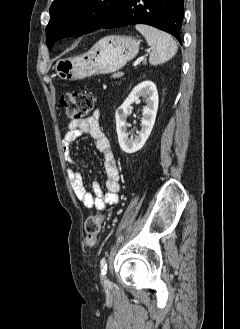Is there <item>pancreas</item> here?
Returning a JSON list of instances; mask_svg holds the SVG:
<instances>
[{
  "mask_svg": "<svg viewBox=\"0 0 240 329\" xmlns=\"http://www.w3.org/2000/svg\"><path fill=\"white\" fill-rule=\"evenodd\" d=\"M123 74L122 73H116V74H114V78H120L121 76H122Z\"/></svg>",
  "mask_w": 240,
  "mask_h": 329,
  "instance_id": "1",
  "label": "pancreas"
}]
</instances>
